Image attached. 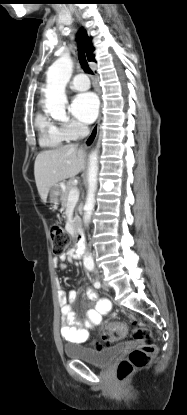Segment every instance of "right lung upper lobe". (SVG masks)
Masks as SVG:
<instances>
[{
	"mask_svg": "<svg viewBox=\"0 0 187 415\" xmlns=\"http://www.w3.org/2000/svg\"><path fill=\"white\" fill-rule=\"evenodd\" d=\"M80 35L82 38L83 46H84L88 61H95L94 55H93L94 47L90 46L91 39L87 36L85 30L83 29L80 30Z\"/></svg>",
	"mask_w": 187,
	"mask_h": 415,
	"instance_id": "1",
	"label": "right lung upper lobe"
}]
</instances>
